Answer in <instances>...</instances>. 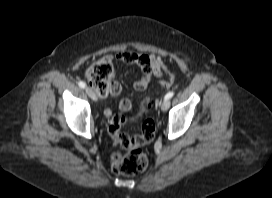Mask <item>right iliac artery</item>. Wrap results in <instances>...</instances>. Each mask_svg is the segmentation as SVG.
<instances>
[{
  "label": "right iliac artery",
  "instance_id": "right-iliac-artery-1",
  "mask_svg": "<svg viewBox=\"0 0 272 198\" xmlns=\"http://www.w3.org/2000/svg\"><path fill=\"white\" fill-rule=\"evenodd\" d=\"M78 85L81 88H85L86 87V84L83 81H79Z\"/></svg>",
  "mask_w": 272,
  "mask_h": 198
}]
</instances>
